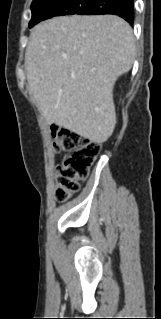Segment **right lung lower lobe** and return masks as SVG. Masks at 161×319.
Wrapping results in <instances>:
<instances>
[{"mask_svg":"<svg viewBox=\"0 0 161 319\" xmlns=\"http://www.w3.org/2000/svg\"><path fill=\"white\" fill-rule=\"evenodd\" d=\"M133 2L134 0H91L77 15L112 14L120 16L132 25L134 21Z\"/></svg>","mask_w":161,"mask_h":319,"instance_id":"98d812e1","label":"right lung lower lobe"}]
</instances>
